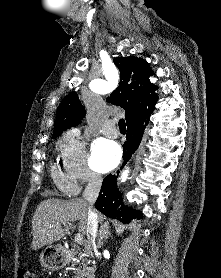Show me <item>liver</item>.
<instances>
[{"label": "liver", "mask_w": 221, "mask_h": 278, "mask_svg": "<svg viewBox=\"0 0 221 278\" xmlns=\"http://www.w3.org/2000/svg\"><path fill=\"white\" fill-rule=\"evenodd\" d=\"M88 211L89 204L83 199L65 201L50 198L42 201L32 218L33 250L59 241L69 232L71 224L75 221H79L78 231L87 234ZM104 219L103 215H99L100 229L108 230L109 224L104 222ZM63 222L67 225L64 226Z\"/></svg>", "instance_id": "liver-1"}]
</instances>
